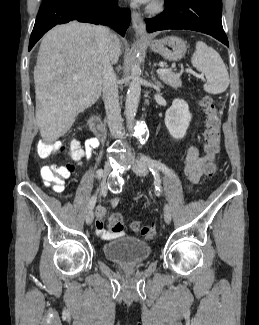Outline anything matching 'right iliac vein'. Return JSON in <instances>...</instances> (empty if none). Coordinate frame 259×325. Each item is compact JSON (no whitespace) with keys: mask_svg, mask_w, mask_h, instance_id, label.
Listing matches in <instances>:
<instances>
[{"mask_svg":"<svg viewBox=\"0 0 259 325\" xmlns=\"http://www.w3.org/2000/svg\"><path fill=\"white\" fill-rule=\"evenodd\" d=\"M110 172H111V164H110V162L106 161L104 164L103 174H102L101 178L106 179ZM93 220H94V211L92 209H90V211L88 212V214L86 216V224L91 225Z\"/></svg>","mask_w":259,"mask_h":325,"instance_id":"right-iliac-vein-1","label":"right iliac vein"}]
</instances>
